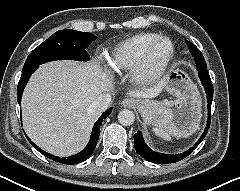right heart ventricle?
Here are the masks:
<instances>
[{
	"label": "right heart ventricle",
	"instance_id": "right-heart-ventricle-1",
	"mask_svg": "<svg viewBox=\"0 0 240 191\" xmlns=\"http://www.w3.org/2000/svg\"><path fill=\"white\" fill-rule=\"evenodd\" d=\"M158 36L157 33H140L118 43L108 57L110 67L116 72L132 69L148 45Z\"/></svg>",
	"mask_w": 240,
	"mask_h": 191
}]
</instances>
